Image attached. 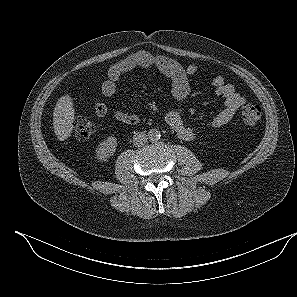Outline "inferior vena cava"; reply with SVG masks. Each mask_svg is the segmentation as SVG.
Masks as SVG:
<instances>
[{
  "mask_svg": "<svg viewBox=\"0 0 297 297\" xmlns=\"http://www.w3.org/2000/svg\"><path fill=\"white\" fill-rule=\"evenodd\" d=\"M148 140V136L144 132H137L133 135V144L137 147L143 146Z\"/></svg>",
  "mask_w": 297,
  "mask_h": 297,
  "instance_id": "602c4592",
  "label": "inferior vena cava"
}]
</instances>
